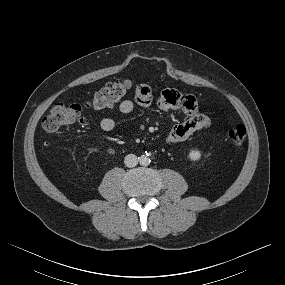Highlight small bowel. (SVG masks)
Returning <instances> with one entry per match:
<instances>
[{
	"label": "small bowel",
	"instance_id": "small-bowel-1",
	"mask_svg": "<svg viewBox=\"0 0 285 285\" xmlns=\"http://www.w3.org/2000/svg\"><path fill=\"white\" fill-rule=\"evenodd\" d=\"M153 102L151 88L147 84H139L135 89L134 100L125 99L119 104V110L123 114L131 113L136 105L148 107ZM157 103L164 111L183 110L187 119L174 125L168 136L169 143H178L188 139L193 133L205 129L211 125V119L206 114L200 113L194 96L181 93L177 90L166 89L157 98ZM101 129L105 132L113 131L116 122L112 118H103L100 122Z\"/></svg>",
	"mask_w": 285,
	"mask_h": 285
}]
</instances>
